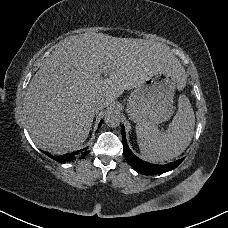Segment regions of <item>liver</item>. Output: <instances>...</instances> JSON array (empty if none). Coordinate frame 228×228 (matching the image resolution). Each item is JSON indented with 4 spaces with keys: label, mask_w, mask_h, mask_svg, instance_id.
<instances>
[{
    "label": "liver",
    "mask_w": 228,
    "mask_h": 228,
    "mask_svg": "<svg viewBox=\"0 0 228 228\" xmlns=\"http://www.w3.org/2000/svg\"><path fill=\"white\" fill-rule=\"evenodd\" d=\"M158 73L173 74L176 89L184 88L185 69L162 43L102 33L65 39L35 73L25 93L23 113L32 141L54 154L78 149L94 121V100L108 107L124 91Z\"/></svg>",
    "instance_id": "6515ba94"
}]
</instances>
